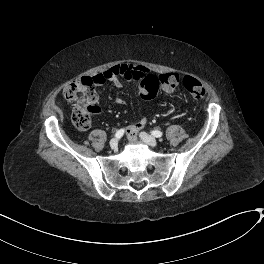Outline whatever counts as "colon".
<instances>
[{
    "instance_id": "1",
    "label": "colon",
    "mask_w": 264,
    "mask_h": 264,
    "mask_svg": "<svg viewBox=\"0 0 264 264\" xmlns=\"http://www.w3.org/2000/svg\"><path fill=\"white\" fill-rule=\"evenodd\" d=\"M115 73H125V68L117 66ZM180 82L176 73H166L160 76L149 75L143 79L139 85V94L144 99L155 97L159 89L166 92L174 91ZM183 85L191 96L201 99L206 95V90L202 83L192 76H185ZM65 99L73 105L72 121L80 130H87L91 126V116L97 111L98 92L94 82L90 78H81L67 84L63 90Z\"/></svg>"
}]
</instances>
